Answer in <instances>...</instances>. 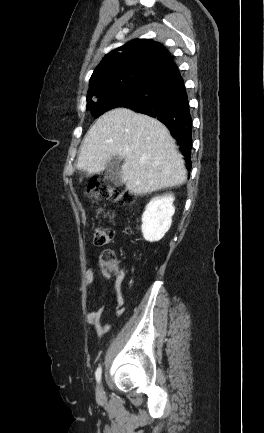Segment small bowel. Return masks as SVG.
<instances>
[{"instance_id":"1","label":"small bowel","mask_w":264,"mask_h":433,"mask_svg":"<svg viewBox=\"0 0 264 433\" xmlns=\"http://www.w3.org/2000/svg\"><path fill=\"white\" fill-rule=\"evenodd\" d=\"M124 279L123 272H120L114 282L115 288V298H116V314L122 315L124 313V296L122 293V282ZM95 281L94 274L91 270H88L85 273V282L88 286L93 285ZM104 308L103 306L98 307L96 310L91 311L87 314V322L88 324L94 327L95 333L98 337H102L110 331V325L108 323L102 322Z\"/></svg>"}]
</instances>
